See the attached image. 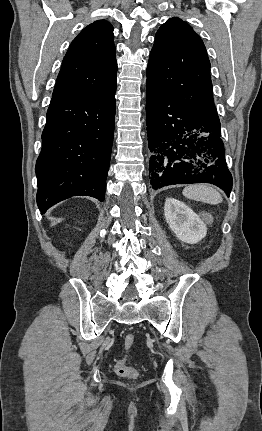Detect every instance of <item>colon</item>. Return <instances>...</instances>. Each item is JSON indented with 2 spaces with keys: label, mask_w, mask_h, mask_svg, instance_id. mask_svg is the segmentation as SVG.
<instances>
[{
  "label": "colon",
  "mask_w": 262,
  "mask_h": 431,
  "mask_svg": "<svg viewBox=\"0 0 262 431\" xmlns=\"http://www.w3.org/2000/svg\"><path fill=\"white\" fill-rule=\"evenodd\" d=\"M136 342V336L133 333H128L124 339V344L127 350L131 349ZM115 372L122 377L135 379L138 376L136 369L128 365V356L125 355L119 358L115 365Z\"/></svg>",
  "instance_id": "1"
}]
</instances>
